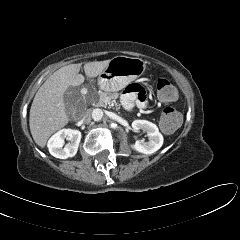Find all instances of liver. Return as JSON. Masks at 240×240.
Wrapping results in <instances>:
<instances>
[{
    "label": "liver",
    "instance_id": "6515ba94",
    "mask_svg": "<svg viewBox=\"0 0 240 240\" xmlns=\"http://www.w3.org/2000/svg\"><path fill=\"white\" fill-rule=\"evenodd\" d=\"M110 60L88 62L84 72L88 78L98 76ZM81 64H70L54 72L37 91L30 109L29 126L35 143L44 148L49 137L66 126L69 117L66 112L64 94L72 86L85 81L79 74Z\"/></svg>",
    "mask_w": 240,
    "mask_h": 240
}]
</instances>
